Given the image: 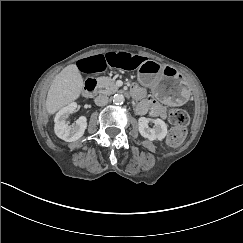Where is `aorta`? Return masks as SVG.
<instances>
[{"instance_id": "obj_1", "label": "aorta", "mask_w": 243, "mask_h": 243, "mask_svg": "<svg viewBox=\"0 0 243 243\" xmlns=\"http://www.w3.org/2000/svg\"><path fill=\"white\" fill-rule=\"evenodd\" d=\"M112 101L115 105H122L125 101V97L124 95L117 93L112 97Z\"/></svg>"}]
</instances>
